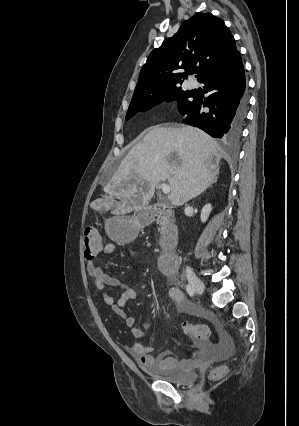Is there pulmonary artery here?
I'll return each instance as SVG.
<instances>
[{
	"mask_svg": "<svg viewBox=\"0 0 299 426\" xmlns=\"http://www.w3.org/2000/svg\"><path fill=\"white\" fill-rule=\"evenodd\" d=\"M190 86H191V87H195V84H194V83H191V84H190Z\"/></svg>",
	"mask_w": 299,
	"mask_h": 426,
	"instance_id": "pulmonary-artery-1",
	"label": "pulmonary artery"
}]
</instances>
